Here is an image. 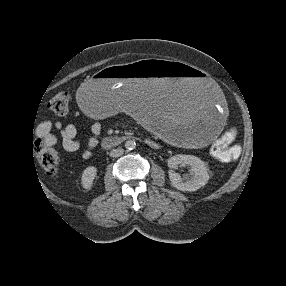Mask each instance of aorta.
<instances>
[{"label": "aorta", "mask_w": 286, "mask_h": 286, "mask_svg": "<svg viewBox=\"0 0 286 286\" xmlns=\"http://www.w3.org/2000/svg\"><path fill=\"white\" fill-rule=\"evenodd\" d=\"M125 147H126V149H128V150H133V149H135V147H136V143H135L134 140H128V141H126V143H125Z\"/></svg>", "instance_id": "762f6f07"}]
</instances>
